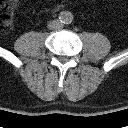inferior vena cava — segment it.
Wrapping results in <instances>:
<instances>
[{
	"label": "inferior vena cava",
	"instance_id": "602c4592",
	"mask_svg": "<svg viewBox=\"0 0 128 128\" xmlns=\"http://www.w3.org/2000/svg\"><path fill=\"white\" fill-rule=\"evenodd\" d=\"M61 22L59 20H53L50 24H49V28L50 29H60L61 28Z\"/></svg>",
	"mask_w": 128,
	"mask_h": 128
}]
</instances>
